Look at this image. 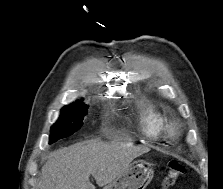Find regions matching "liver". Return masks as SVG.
<instances>
[{
    "label": "liver",
    "mask_w": 223,
    "mask_h": 189,
    "mask_svg": "<svg viewBox=\"0 0 223 189\" xmlns=\"http://www.w3.org/2000/svg\"><path fill=\"white\" fill-rule=\"evenodd\" d=\"M141 147L120 142L90 140L53 152L41 168L37 189H95L113 182L139 155Z\"/></svg>",
    "instance_id": "1"
}]
</instances>
